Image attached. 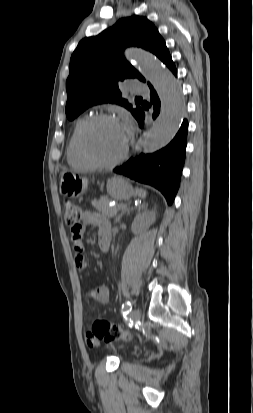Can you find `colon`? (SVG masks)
Returning a JSON list of instances; mask_svg holds the SVG:
<instances>
[{"mask_svg": "<svg viewBox=\"0 0 253 413\" xmlns=\"http://www.w3.org/2000/svg\"><path fill=\"white\" fill-rule=\"evenodd\" d=\"M65 223L75 229L79 226L81 212L79 207L71 201H65L63 205ZM90 339L112 342L118 339L129 341L132 335L119 326L113 325L107 320L96 319L92 323L91 330L87 333Z\"/></svg>", "mask_w": 253, "mask_h": 413, "instance_id": "1", "label": "colon"}]
</instances>
